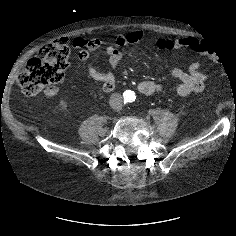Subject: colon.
Returning a JSON list of instances; mask_svg holds the SVG:
<instances>
[{
  "label": "colon",
  "instance_id": "5ec220e1",
  "mask_svg": "<svg viewBox=\"0 0 236 236\" xmlns=\"http://www.w3.org/2000/svg\"><path fill=\"white\" fill-rule=\"evenodd\" d=\"M158 47L172 48L170 40H160ZM190 48L199 52L204 59L222 62L223 51L218 46H211L204 42L194 41ZM70 46L63 41H54L43 46L38 57L32 58L26 68L19 74L17 84L23 94L33 96L44 88L58 84L62 81L64 71L68 65Z\"/></svg>",
  "mask_w": 236,
  "mask_h": 236
}]
</instances>
